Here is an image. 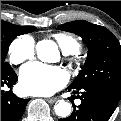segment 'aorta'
Returning a JSON list of instances; mask_svg holds the SVG:
<instances>
[{
  "label": "aorta",
  "instance_id": "762f6f07",
  "mask_svg": "<svg viewBox=\"0 0 121 121\" xmlns=\"http://www.w3.org/2000/svg\"><path fill=\"white\" fill-rule=\"evenodd\" d=\"M37 55L40 60L50 62L54 56H57V45L50 40H42L36 45ZM55 113L60 117H67L71 113V105L68 102L61 100L54 106Z\"/></svg>",
  "mask_w": 121,
  "mask_h": 121
}]
</instances>
